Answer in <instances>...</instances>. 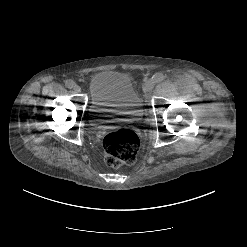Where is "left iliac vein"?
Returning a JSON list of instances; mask_svg holds the SVG:
<instances>
[{"label":"left iliac vein","instance_id":"4c4485c4","mask_svg":"<svg viewBox=\"0 0 247 247\" xmlns=\"http://www.w3.org/2000/svg\"><path fill=\"white\" fill-rule=\"evenodd\" d=\"M154 87V82L149 80L145 83L144 87H143V91L144 93H149Z\"/></svg>","mask_w":247,"mask_h":247}]
</instances>
